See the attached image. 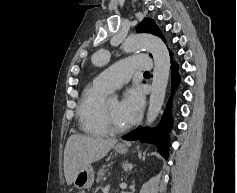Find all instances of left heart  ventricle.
Listing matches in <instances>:
<instances>
[{
    "label": "left heart ventricle",
    "instance_id": "1",
    "mask_svg": "<svg viewBox=\"0 0 237 193\" xmlns=\"http://www.w3.org/2000/svg\"><path fill=\"white\" fill-rule=\"evenodd\" d=\"M107 109H108L110 120L114 125L116 126L128 125L127 121L125 120L122 114L119 101L115 99L107 100Z\"/></svg>",
    "mask_w": 237,
    "mask_h": 193
}]
</instances>
